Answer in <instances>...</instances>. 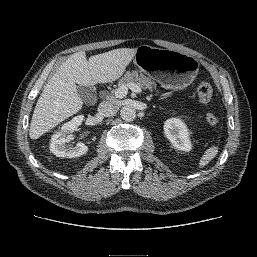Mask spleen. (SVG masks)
<instances>
[{"instance_id": "1", "label": "spleen", "mask_w": 257, "mask_h": 257, "mask_svg": "<svg viewBox=\"0 0 257 257\" xmlns=\"http://www.w3.org/2000/svg\"><path fill=\"white\" fill-rule=\"evenodd\" d=\"M218 154V147L212 146L206 149L204 154L202 155L200 161H199V168L205 167L211 160H213L216 155Z\"/></svg>"}]
</instances>
